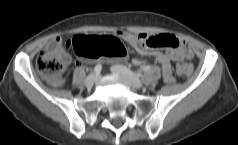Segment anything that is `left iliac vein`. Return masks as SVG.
Returning a JSON list of instances; mask_svg holds the SVG:
<instances>
[{"instance_id":"4c4485c4","label":"left iliac vein","mask_w":238,"mask_h":145,"mask_svg":"<svg viewBox=\"0 0 238 145\" xmlns=\"http://www.w3.org/2000/svg\"><path fill=\"white\" fill-rule=\"evenodd\" d=\"M111 72L119 76L124 84L132 90H138L144 87V83L128 68L123 65H114Z\"/></svg>"}]
</instances>
